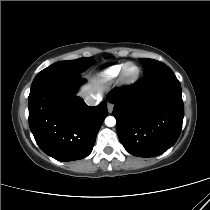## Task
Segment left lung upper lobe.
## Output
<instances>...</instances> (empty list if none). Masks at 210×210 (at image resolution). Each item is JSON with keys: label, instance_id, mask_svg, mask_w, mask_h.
<instances>
[{"label": "left lung upper lobe", "instance_id": "obj_1", "mask_svg": "<svg viewBox=\"0 0 210 210\" xmlns=\"http://www.w3.org/2000/svg\"><path fill=\"white\" fill-rule=\"evenodd\" d=\"M139 60L143 63V71L145 76L167 66L164 63L154 59L141 58Z\"/></svg>", "mask_w": 210, "mask_h": 210}]
</instances>
